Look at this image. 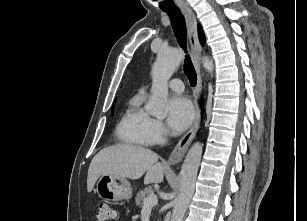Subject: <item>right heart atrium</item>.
<instances>
[{
    "mask_svg": "<svg viewBox=\"0 0 307 221\" xmlns=\"http://www.w3.org/2000/svg\"><path fill=\"white\" fill-rule=\"evenodd\" d=\"M150 131L153 143H160L166 137L165 127L162 122L157 119H152Z\"/></svg>",
    "mask_w": 307,
    "mask_h": 221,
    "instance_id": "right-heart-atrium-1",
    "label": "right heart atrium"
}]
</instances>
